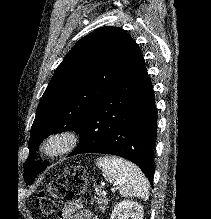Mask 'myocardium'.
<instances>
[{
  "label": "myocardium",
  "instance_id": "f54148a6",
  "mask_svg": "<svg viewBox=\"0 0 211 219\" xmlns=\"http://www.w3.org/2000/svg\"><path fill=\"white\" fill-rule=\"evenodd\" d=\"M79 140V134L73 129L52 132L41 141L39 154L47 160L63 158L77 148Z\"/></svg>",
  "mask_w": 211,
  "mask_h": 219
}]
</instances>
